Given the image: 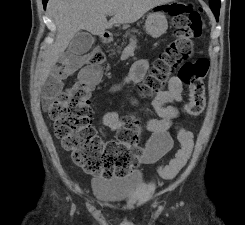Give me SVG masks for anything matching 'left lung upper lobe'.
<instances>
[{"instance_id": "5c2ea615", "label": "left lung upper lobe", "mask_w": 245, "mask_h": 225, "mask_svg": "<svg viewBox=\"0 0 245 225\" xmlns=\"http://www.w3.org/2000/svg\"><path fill=\"white\" fill-rule=\"evenodd\" d=\"M209 5L218 20L219 17V11H220V0H209Z\"/></svg>"}]
</instances>
